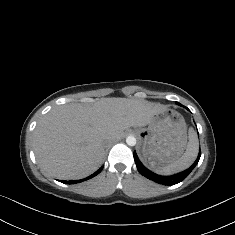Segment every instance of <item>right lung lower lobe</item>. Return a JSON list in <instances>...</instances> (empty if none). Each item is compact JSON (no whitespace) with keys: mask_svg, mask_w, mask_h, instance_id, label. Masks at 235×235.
Segmentation results:
<instances>
[{"mask_svg":"<svg viewBox=\"0 0 235 235\" xmlns=\"http://www.w3.org/2000/svg\"><path fill=\"white\" fill-rule=\"evenodd\" d=\"M103 169V167H101L98 171H96L94 174L90 175L89 177L83 179V180H74V181H61L62 183H65V184H74V183H79V182H82V181H85V180H88L94 176H96L97 174H99L101 172V170Z\"/></svg>","mask_w":235,"mask_h":235,"instance_id":"obj_1","label":"right lung lower lobe"}]
</instances>
